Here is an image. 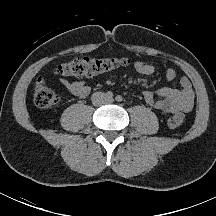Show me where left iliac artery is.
Segmentation results:
<instances>
[{
    "label": "left iliac artery",
    "instance_id": "44dca946",
    "mask_svg": "<svg viewBox=\"0 0 216 216\" xmlns=\"http://www.w3.org/2000/svg\"><path fill=\"white\" fill-rule=\"evenodd\" d=\"M115 99L117 102H121L123 98L121 95H117Z\"/></svg>",
    "mask_w": 216,
    "mask_h": 216
}]
</instances>
